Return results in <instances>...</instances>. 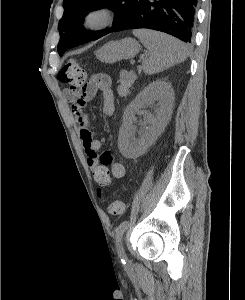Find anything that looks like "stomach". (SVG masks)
<instances>
[{"mask_svg": "<svg viewBox=\"0 0 245 300\" xmlns=\"http://www.w3.org/2000/svg\"><path fill=\"white\" fill-rule=\"evenodd\" d=\"M140 50L139 43L133 38L120 41H110L95 53L96 57L105 63H115L122 59L133 58Z\"/></svg>", "mask_w": 245, "mask_h": 300, "instance_id": "stomach-1", "label": "stomach"}]
</instances>
